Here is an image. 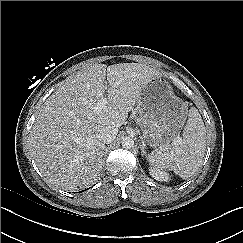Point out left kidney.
<instances>
[{"mask_svg":"<svg viewBox=\"0 0 243 243\" xmlns=\"http://www.w3.org/2000/svg\"><path fill=\"white\" fill-rule=\"evenodd\" d=\"M150 175L158 181H168L170 179V176L168 173L161 171L157 168H151L150 169Z\"/></svg>","mask_w":243,"mask_h":243,"instance_id":"1","label":"left kidney"}]
</instances>
